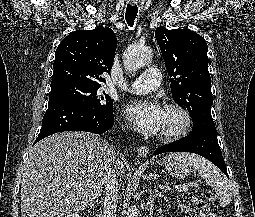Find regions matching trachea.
<instances>
[{
	"instance_id": "trachea-1",
	"label": "trachea",
	"mask_w": 255,
	"mask_h": 217,
	"mask_svg": "<svg viewBox=\"0 0 255 217\" xmlns=\"http://www.w3.org/2000/svg\"><path fill=\"white\" fill-rule=\"evenodd\" d=\"M137 12H138L137 5H130V4L127 5L125 18L130 27L134 25Z\"/></svg>"
}]
</instances>
